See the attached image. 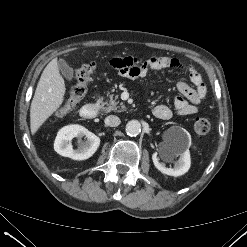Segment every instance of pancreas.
I'll return each mask as SVG.
<instances>
[{
    "label": "pancreas",
    "mask_w": 247,
    "mask_h": 247,
    "mask_svg": "<svg viewBox=\"0 0 247 247\" xmlns=\"http://www.w3.org/2000/svg\"><path fill=\"white\" fill-rule=\"evenodd\" d=\"M117 99H118L117 95L115 97H113V95H110L109 100L102 104V111H104L105 113L111 111L113 112L124 111L126 109L125 105L123 104V102L119 103Z\"/></svg>",
    "instance_id": "obj_1"
}]
</instances>
